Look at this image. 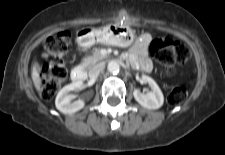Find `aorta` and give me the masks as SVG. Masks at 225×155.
<instances>
[{
    "label": "aorta",
    "instance_id": "aorta-1",
    "mask_svg": "<svg viewBox=\"0 0 225 155\" xmlns=\"http://www.w3.org/2000/svg\"><path fill=\"white\" fill-rule=\"evenodd\" d=\"M107 70L110 73L116 74L120 71V65L117 61L112 60L108 63Z\"/></svg>",
    "mask_w": 225,
    "mask_h": 155
}]
</instances>
